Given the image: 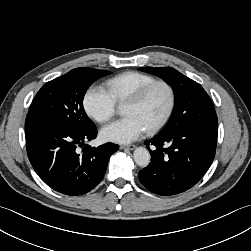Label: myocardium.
<instances>
[{"label":"myocardium","mask_w":251,"mask_h":251,"mask_svg":"<svg viewBox=\"0 0 251 251\" xmlns=\"http://www.w3.org/2000/svg\"><path fill=\"white\" fill-rule=\"evenodd\" d=\"M157 86H164L168 90L170 102H169L168 110L166 114L164 115V117L156 125L147 129V132L149 134H155L159 132L170 121L176 107V92H175L174 87L165 80H155L145 85L141 89H139L132 97H130L126 101V104H140L141 102L145 100L148 94Z\"/></svg>","instance_id":"obj_1"}]
</instances>
